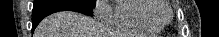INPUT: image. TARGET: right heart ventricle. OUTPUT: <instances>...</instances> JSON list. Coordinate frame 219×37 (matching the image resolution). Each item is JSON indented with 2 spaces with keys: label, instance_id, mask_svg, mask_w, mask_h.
I'll return each instance as SVG.
<instances>
[{
  "label": "right heart ventricle",
  "instance_id": "1",
  "mask_svg": "<svg viewBox=\"0 0 219 37\" xmlns=\"http://www.w3.org/2000/svg\"><path fill=\"white\" fill-rule=\"evenodd\" d=\"M156 7L149 0H121L113 14L112 25L119 29L144 33H159L161 26L147 18L146 12Z\"/></svg>",
  "mask_w": 219,
  "mask_h": 37
}]
</instances>
